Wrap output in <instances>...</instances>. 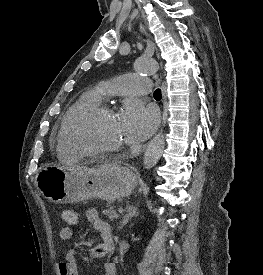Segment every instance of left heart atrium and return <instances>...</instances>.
<instances>
[{
  "instance_id": "left-heart-atrium-1",
  "label": "left heart atrium",
  "mask_w": 263,
  "mask_h": 275,
  "mask_svg": "<svg viewBox=\"0 0 263 275\" xmlns=\"http://www.w3.org/2000/svg\"><path fill=\"white\" fill-rule=\"evenodd\" d=\"M119 120L128 142L137 144L145 140L155 129L157 116L142 103H128L119 116Z\"/></svg>"
}]
</instances>
